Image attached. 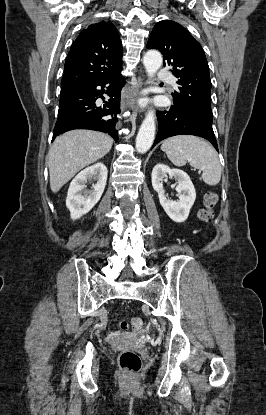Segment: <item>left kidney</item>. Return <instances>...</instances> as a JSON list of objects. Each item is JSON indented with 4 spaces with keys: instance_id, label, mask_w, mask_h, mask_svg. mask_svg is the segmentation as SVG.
Returning <instances> with one entry per match:
<instances>
[{
    "instance_id": "obj_1",
    "label": "left kidney",
    "mask_w": 266,
    "mask_h": 415,
    "mask_svg": "<svg viewBox=\"0 0 266 415\" xmlns=\"http://www.w3.org/2000/svg\"><path fill=\"white\" fill-rule=\"evenodd\" d=\"M174 177L177 181L176 191L179 201L166 198L163 181L167 176ZM153 189L158 193L159 201L166 214L177 223L184 222L196 199V192L188 174L180 169H171L167 165L157 164L151 174Z\"/></svg>"
}]
</instances>
